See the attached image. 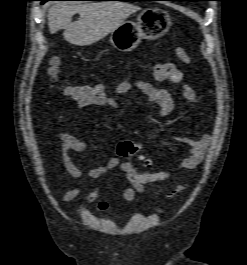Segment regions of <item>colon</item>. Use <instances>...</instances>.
Listing matches in <instances>:
<instances>
[{"label":"colon","mask_w":247,"mask_h":265,"mask_svg":"<svg viewBox=\"0 0 247 265\" xmlns=\"http://www.w3.org/2000/svg\"><path fill=\"white\" fill-rule=\"evenodd\" d=\"M175 55L181 63L188 64L191 61L188 51L184 47H178L175 50ZM59 66L60 59L54 58L48 71L53 81L58 79L60 71ZM61 92L65 97L76 103H82L85 106H105L111 98L109 91L104 84L63 86ZM116 153L119 157L125 158L137 156L148 167L154 165L153 158L148 156L145 153L142 144L137 142L130 140L120 142L117 146ZM184 188V186L179 187L171 194V196L174 197L176 194L182 192Z\"/></svg>","instance_id":"obj_1"}]
</instances>
